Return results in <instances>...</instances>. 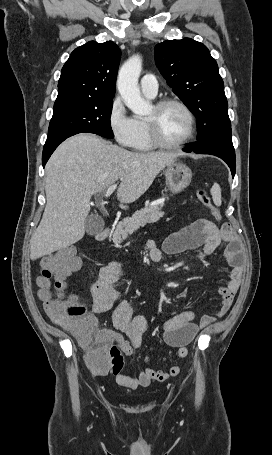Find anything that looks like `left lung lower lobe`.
<instances>
[{
    "label": "left lung lower lobe",
    "mask_w": 272,
    "mask_h": 455,
    "mask_svg": "<svg viewBox=\"0 0 272 455\" xmlns=\"http://www.w3.org/2000/svg\"><path fill=\"white\" fill-rule=\"evenodd\" d=\"M185 152L198 154H211L223 159L231 169L232 176L235 175L236 162L235 151L232 144L231 128L224 129L208 135L193 143V146L184 148Z\"/></svg>",
    "instance_id": "left-lung-lower-lobe-1"
}]
</instances>
